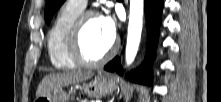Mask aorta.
Here are the masks:
<instances>
[{
  "label": "aorta",
  "mask_w": 221,
  "mask_h": 102,
  "mask_svg": "<svg viewBox=\"0 0 221 102\" xmlns=\"http://www.w3.org/2000/svg\"><path fill=\"white\" fill-rule=\"evenodd\" d=\"M144 0H130V14L125 51L126 64L131 65L137 55L142 34Z\"/></svg>",
  "instance_id": "1"
}]
</instances>
